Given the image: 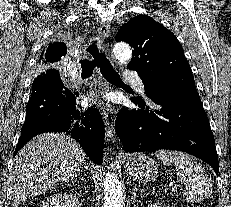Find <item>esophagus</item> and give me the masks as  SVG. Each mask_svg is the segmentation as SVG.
Wrapping results in <instances>:
<instances>
[{
  "mask_svg": "<svg viewBox=\"0 0 231 207\" xmlns=\"http://www.w3.org/2000/svg\"><path fill=\"white\" fill-rule=\"evenodd\" d=\"M110 25L107 22L98 24V35L101 40L108 38ZM102 116L105 123L106 136L112 141L115 140V109L108 103L103 106Z\"/></svg>",
  "mask_w": 231,
  "mask_h": 207,
  "instance_id": "1",
  "label": "esophagus"
}]
</instances>
